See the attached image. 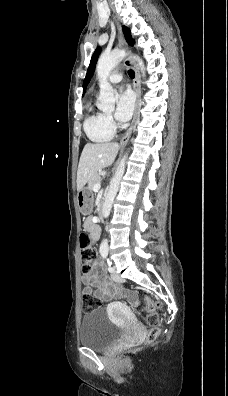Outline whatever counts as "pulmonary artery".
<instances>
[{"label": "pulmonary artery", "instance_id": "1", "mask_svg": "<svg viewBox=\"0 0 228 396\" xmlns=\"http://www.w3.org/2000/svg\"><path fill=\"white\" fill-rule=\"evenodd\" d=\"M122 77H123V74L121 72H114L109 76L108 80L110 83L115 84V83L120 82L122 80Z\"/></svg>", "mask_w": 228, "mask_h": 396}]
</instances>
